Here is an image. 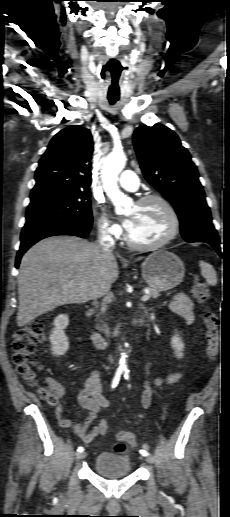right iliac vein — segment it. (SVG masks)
<instances>
[{"instance_id": "right-iliac-vein-1", "label": "right iliac vein", "mask_w": 230, "mask_h": 517, "mask_svg": "<svg viewBox=\"0 0 230 517\" xmlns=\"http://www.w3.org/2000/svg\"><path fill=\"white\" fill-rule=\"evenodd\" d=\"M86 457V453L85 452H80L76 455V458L77 460H81V459H84Z\"/></svg>"}]
</instances>
